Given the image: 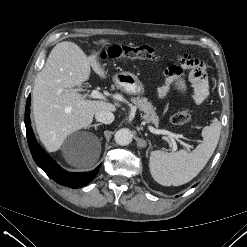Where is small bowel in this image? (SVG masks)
<instances>
[{"label": "small bowel", "mask_w": 247, "mask_h": 247, "mask_svg": "<svg viewBox=\"0 0 247 247\" xmlns=\"http://www.w3.org/2000/svg\"><path fill=\"white\" fill-rule=\"evenodd\" d=\"M180 62V67L171 66L168 68L166 82L158 90L159 97L164 98L171 88L176 90L179 94H184L185 83L183 80V70H187L188 79L193 89L192 101L195 104L202 103L209 94V86L204 66L198 60L190 56H183Z\"/></svg>", "instance_id": "small-bowel-1"}]
</instances>
